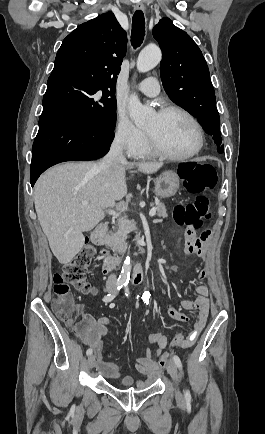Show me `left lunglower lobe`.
Returning a JSON list of instances; mask_svg holds the SVG:
<instances>
[{"mask_svg":"<svg viewBox=\"0 0 265 434\" xmlns=\"http://www.w3.org/2000/svg\"><path fill=\"white\" fill-rule=\"evenodd\" d=\"M217 152H218V153H223V152H224V149H217Z\"/></svg>","mask_w":265,"mask_h":434,"instance_id":"left-lung-lower-lobe-1","label":"left lung lower lobe"}]
</instances>
